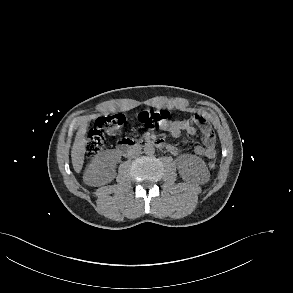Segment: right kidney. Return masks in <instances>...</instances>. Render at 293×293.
Here are the masks:
<instances>
[{
  "label": "right kidney",
  "mask_w": 293,
  "mask_h": 293,
  "mask_svg": "<svg viewBox=\"0 0 293 293\" xmlns=\"http://www.w3.org/2000/svg\"><path fill=\"white\" fill-rule=\"evenodd\" d=\"M115 171L109 165L104 155L96 156L85 171L83 180L87 185L100 186L111 182Z\"/></svg>",
  "instance_id": "1"
}]
</instances>
